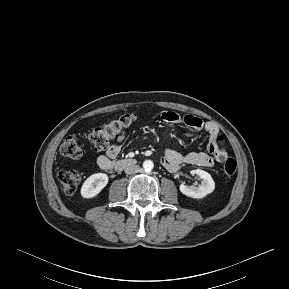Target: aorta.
<instances>
[{"label": "aorta", "instance_id": "762f6f07", "mask_svg": "<svg viewBox=\"0 0 289 289\" xmlns=\"http://www.w3.org/2000/svg\"><path fill=\"white\" fill-rule=\"evenodd\" d=\"M154 163L151 160H145L143 162V168L145 171L149 172L153 169Z\"/></svg>", "mask_w": 289, "mask_h": 289}]
</instances>
